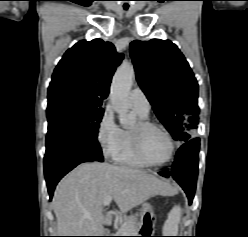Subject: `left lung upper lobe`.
<instances>
[{"label":"left lung upper lobe","mask_w":248,"mask_h":237,"mask_svg":"<svg viewBox=\"0 0 248 237\" xmlns=\"http://www.w3.org/2000/svg\"><path fill=\"white\" fill-rule=\"evenodd\" d=\"M136 79L158 119L175 140L186 142L199 123L198 83L183 54L170 40L130 44Z\"/></svg>","instance_id":"1"}]
</instances>
